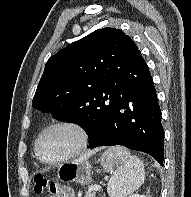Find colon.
I'll use <instances>...</instances> for the list:
<instances>
[{
    "label": "colon",
    "mask_w": 191,
    "mask_h": 197,
    "mask_svg": "<svg viewBox=\"0 0 191 197\" xmlns=\"http://www.w3.org/2000/svg\"><path fill=\"white\" fill-rule=\"evenodd\" d=\"M49 189L51 193L58 195L59 197H70L68 190H64L62 187L50 182L48 178L43 175H35L34 177V192L37 194L43 193Z\"/></svg>",
    "instance_id": "colon-1"
}]
</instances>
